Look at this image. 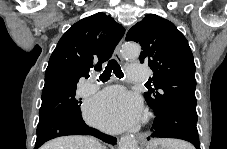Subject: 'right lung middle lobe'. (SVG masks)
I'll use <instances>...</instances> for the list:
<instances>
[{"label":"right lung middle lobe","mask_w":227,"mask_h":149,"mask_svg":"<svg viewBox=\"0 0 227 149\" xmlns=\"http://www.w3.org/2000/svg\"><path fill=\"white\" fill-rule=\"evenodd\" d=\"M75 85H53L43 88L39 122L62 116L82 117L81 101L75 98Z\"/></svg>","instance_id":"dd1d6c3e"}]
</instances>
